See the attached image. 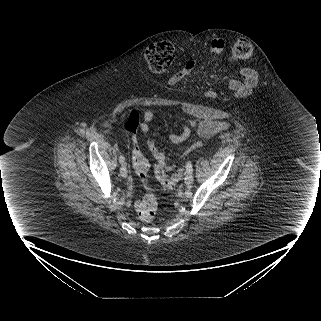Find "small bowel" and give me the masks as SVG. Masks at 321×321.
<instances>
[{"instance_id":"obj_1","label":"small bowel","mask_w":321,"mask_h":321,"mask_svg":"<svg viewBox=\"0 0 321 321\" xmlns=\"http://www.w3.org/2000/svg\"><path fill=\"white\" fill-rule=\"evenodd\" d=\"M210 49L214 54H221L225 49V42L222 39L216 38L211 41ZM195 61L187 62L183 68L177 71L172 77V83H178L187 76H189L196 68ZM239 75L244 79L241 82L238 78H233L229 82V87L238 95L245 96L253 89V85L257 82V76L252 72V69L248 65H243L239 69ZM154 118L152 110H146L143 114V121L140 124V131L147 133L149 131V125ZM184 123L183 129L180 133L170 135V141L173 144H180L184 142L191 134H196L200 137H212L216 134L226 130L228 124L223 121L213 120L207 122H197L193 120L181 119ZM148 148L156 161L155 172L166 174L167 171L174 168V163L168 161L165 153L161 151L156 142L153 139H149L147 142ZM189 150H186L184 154H187Z\"/></svg>"}]
</instances>
